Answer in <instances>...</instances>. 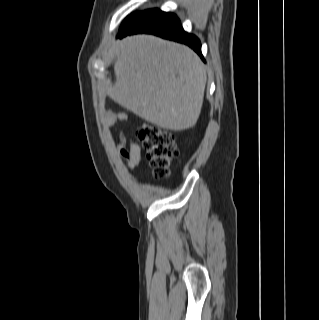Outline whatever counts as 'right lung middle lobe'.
Here are the masks:
<instances>
[{"label":"right lung middle lobe","instance_id":"1","mask_svg":"<svg viewBox=\"0 0 319 320\" xmlns=\"http://www.w3.org/2000/svg\"><path fill=\"white\" fill-rule=\"evenodd\" d=\"M160 12L161 11L158 9H152V10H147V11L140 12V13H138V12L134 13L128 19L125 20V22L123 23V25L121 26L120 29L134 28L135 26L143 23L147 19L157 15Z\"/></svg>","mask_w":319,"mask_h":320}]
</instances>
